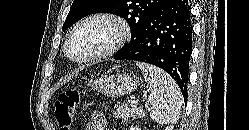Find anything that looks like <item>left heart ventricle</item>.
<instances>
[{
  "label": "left heart ventricle",
  "instance_id": "left-heart-ventricle-1",
  "mask_svg": "<svg viewBox=\"0 0 249 130\" xmlns=\"http://www.w3.org/2000/svg\"><path fill=\"white\" fill-rule=\"evenodd\" d=\"M117 27L109 22L95 21L81 27L72 37L69 53L83 58L107 48L117 37Z\"/></svg>",
  "mask_w": 249,
  "mask_h": 130
}]
</instances>
